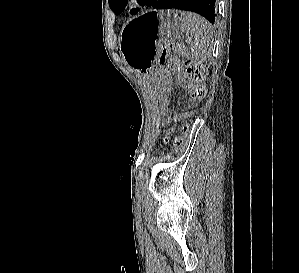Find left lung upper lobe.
I'll return each instance as SVG.
<instances>
[{"instance_id": "1", "label": "left lung upper lobe", "mask_w": 299, "mask_h": 273, "mask_svg": "<svg viewBox=\"0 0 299 273\" xmlns=\"http://www.w3.org/2000/svg\"><path fill=\"white\" fill-rule=\"evenodd\" d=\"M153 0H138V3L142 6H149ZM128 0H109V6L110 9L115 13V14H120L124 9L125 6L127 5ZM132 14H136L138 12L137 9H132L131 10Z\"/></svg>"}]
</instances>
